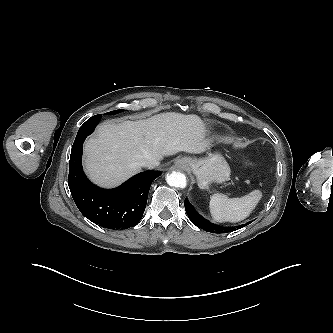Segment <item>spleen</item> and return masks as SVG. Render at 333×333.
I'll use <instances>...</instances> for the list:
<instances>
[{"label": "spleen", "mask_w": 333, "mask_h": 333, "mask_svg": "<svg viewBox=\"0 0 333 333\" xmlns=\"http://www.w3.org/2000/svg\"><path fill=\"white\" fill-rule=\"evenodd\" d=\"M262 197L254 190L241 198H227L216 193L211 196L209 208L212 217L218 222H238L247 218Z\"/></svg>", "instance_id": "1"}]
</instances>
